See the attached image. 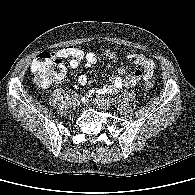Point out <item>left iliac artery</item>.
<instances>
[{
  "label": "left iliac artery",
  "instance_id": "1",
  "mask_svg": "<svg viewBox=\"0 0 195 195\" xmlns=\"http://www.w3.org/2000/svg\"><path fill=\"white\" fill-rule=\"evenodd\" d=\"M109 103H113V99H111V98H108V100H107Z\"/></svg>",
  "mask_w": 195,
  "mask_h": 195
}]
</instances>
